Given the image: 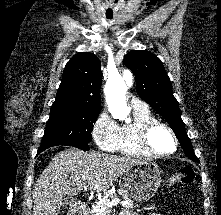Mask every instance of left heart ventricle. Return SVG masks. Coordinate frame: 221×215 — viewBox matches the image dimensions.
Wrapping results in <instances>:
<instances>
[{"mask_svg": "<svg viewBox=\"0 0 221 215\" xmlns=\"http://www.w3.org/2000/svg\"><path fill=\"white\" fill-rule=\"evenodd\" d=\"M151 145L157 151H170L173 148V140L166 129L158 128L151 135Z\"/></svg>", "mask_w": 221, "mask_h": 215, "instance_id": "1", "label": "left heart ventricle"}]
</instances>
